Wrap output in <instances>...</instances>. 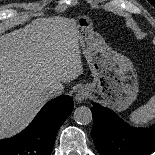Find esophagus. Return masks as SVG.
Returning a JSON list of instances; mask_svg holds the SVG:
<instances>
[{
	"label": "esophagus",
	"mask_w": 155,
	"mask_h": 155,
	"mask_svg": "<svg viewBox=\"0 0 155 155\" xmlns=\"http://www.w3.org/2000/svg\"><path fill=\"white\" fill-rule=\"evenodd\" d=\"M88 95V91L85 88H80L75 94V100L77 102L83 101Z\"/></svg>",
	"instance_id": "1"
}]
</instances>
